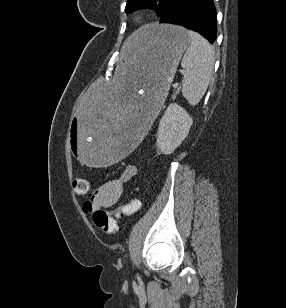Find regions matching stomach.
I'll list each match as a JSON object with an SVG mask.
<instances>
[{
    "label": "stomach",
    "instance_id": "stomach-1",
    "mask_svg": "<svg viewBox=\"0 0 286 308\" xmlns=\"http://www.w3.org/2000/svg\"><path fill=\"white\" fill-rule=\"evenodd\" d=\"M121 45L112 80L102 81L74 112L69 149L82 168H111L143 144L154 107H162L182 54L191 43L186 29L152 23Z\"/></svg>",
    "mask_w": 286,
    "mask_h": 308
}]
</instances>
